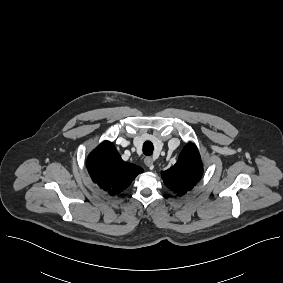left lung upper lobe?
<instances>
[{
  "mask_svg": "<svg viewBox=\"0 0 283 283\" xmlns=\"http://www.w3.org/2000/svg\"><path fill=\"white\" fill-rule=\"evenodd\" d=\"M203 166L197 147L189 143L180 153L177 163L161 173L165 185L178 195L191 190L199 181Z\"/></svg>",
  "mask_w": 283,
  "mask_h": 283,
  "instance_id": "left-lung-upper-lobe-1",
  "label": "left lung upper lobe"
}]
</instances>
